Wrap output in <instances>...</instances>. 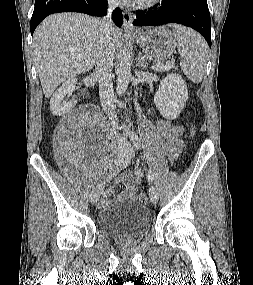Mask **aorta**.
I'll list each match as a JSON object with an SVG mask.
<instances>
[{
  "mask_svg": "<svg viewBox=\"0 0 253 285\" xmlns=\"http://www.w3.org/2000/svg\"><path fill=\"white\" fill-rule=\"evenodd\" d=\"M131 78V56L128 51H123L119 61L116 91L118 95H123L127 90Z\"/></svg>",
  "mask_w": 253,
  "mask_h": 285,
  "instance_id": "762f6f07",
  "label": "aorta"
}]
</instances>
